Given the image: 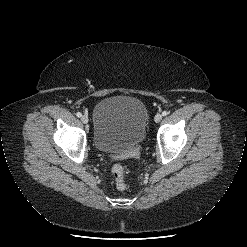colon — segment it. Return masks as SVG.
<instances>
[{"instance_id": "1", "label": "colon", "mask_w": 247, "mask_h": 247, "mask_svg": "<svg viewBox=\"0 0 247 247\" xmlns=\"http://www.w3.org/2000/svg\"><path fill=\"white\" fill-rule=\"evenodd\" d=\"M112 174L115 179L116 187L119 190H124L127 187L125 180V170L122 165L116 164L112 168Z\"/></svg>"}]
</instances>
